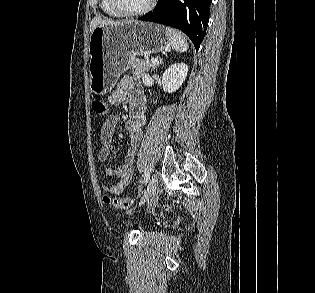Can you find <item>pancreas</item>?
<instances>
[{"instance_id": "obj_1", "label": "pancreas", "mask_w": 315, "mask_h": 293, "mask_svg": "<svg viewBox=\"0 0 315 293\" xmlns=\"http://www.w3.org/2000/svg\"><path fill=\"white\" fill-rule=\"evenodd\" d=\"M129 67L132 69L133 78L140 79L144 77L150 69L153 68V65L149 60L130 58Z\"/></svg>"}]
</instances>
